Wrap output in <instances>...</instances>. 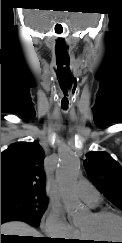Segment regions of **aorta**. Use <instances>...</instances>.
<instances>
[{"mask_svg":"<svg viewBox=\"0 0 122 243\" xmlns=\"http://www.w3.org/2000/svg\"><path fill=\"white\" fill-rule=\"evenodd\" d=\"M55 175L67 214L74 219L81 209V203L74 192V186L80 175L79 159L70 152L63 154L59 159Z\"/></svg>","mask_w":122,"mask_h":243,"instance_id":"obj_1","label":"aorta"}]
</instances>
